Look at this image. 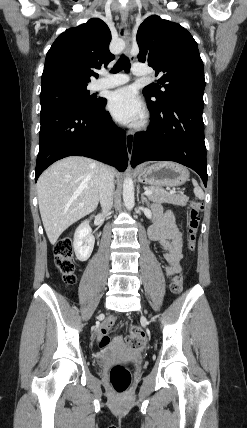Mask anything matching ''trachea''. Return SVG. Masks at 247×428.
I'll return each instance as SVG.
<instances>
[{
	"mask_svg": "<svg viewBox=\"0 0 247 428\" xmlns=\"http://www.w3.org/2000/svg\"><path fill=\"white\" fill-rule=\"evenodd\" d=\"M130 68V61L126 55H122L120 59L117 61V63L114 65V67L111 69L112 73H118L121 70L125 69L127 72Z\"/></svg>",
	"mask_w": 247,
	"mask_h": 428,
	"instance_id": "3493384b",
	"label": "trachea"
}]
</instances>
